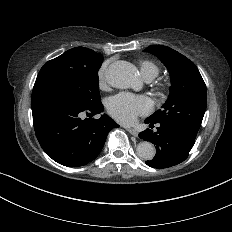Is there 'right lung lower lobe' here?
I'll list each match as a JSON object with an SVG mask.
<instances>
[{
    "label": "right lung lower lobe",
    "mask_w": 232,
    "mask_h": 232,
    "mask_svg": "<svg viewBox=\"0 0 232 232\" xmlns=\"http://www.w3.org/2000/svg\"><path fill=\"white\" fill-rule=\"evenodd\" d=\"M103 110L101 102L83 103L60 80L38 74L32 91L33 125L41 147L57 163L79 167L98 156L109 131L119 127L106 114L92 118Z\"/></svg>",
    "instance_id": "1"
}]
</instances>
